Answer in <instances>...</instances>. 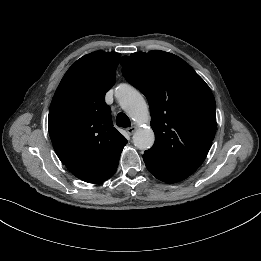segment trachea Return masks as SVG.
<instances>
[{
    "label": "trachea",
    "instance_id": "trachea-1",
    "mask_svg": "<svg viewBox=\"0 0 261 261\" xmlns=\"http://www.w3.org/2000/svg\"><path fill=\"white\" fill-rule=\"evenodd\" d=\"M116 124L117 126L119 127H130L131 126V122H130V119L128 118V116L124 113H119L117 115V118H116Z\"/></svg>",
    "mask_w": 261,
    "mask_h": 261
}]
</instances>
